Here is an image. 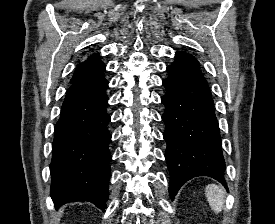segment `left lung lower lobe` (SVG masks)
<instances>
[{"mask_svg": "<svg viewBox=\"0 0 275 224\" xmlns=\"http://www.w3.org/2000/svg\"><path fill=\"white\" fill-rule=\"evenodd\" d=\"M166 71L161 101L170 196L174 198L186 181L197 176L214 178L227 188L220 130L206 79L200 69Z\"/></svg>", "mask_w": 275, "mask_h": 224, "instance_id": "left-lung-lower-lobe-1", "label": "left lung lower lobe"}]
</instances>
